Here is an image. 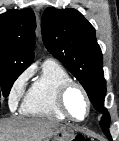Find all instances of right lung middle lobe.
<instances>
[{
    "instance_id": "dd1d6c3e",
    "label": "right lung middle lobe",
    "mask_w": 119,
    "mask_h": 141,
    "mask_svg": "<svg viewBox=\"0 0 119 141\" xmlns=\"http://www.w3.org/2000/svg\"><path fill=\"white\" fill-rule=\"evenodd\" d=\"M21 71H0V97H7Z\"/></svg>"
}]
</instances>
